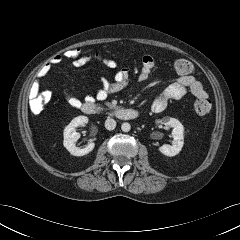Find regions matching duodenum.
<instances>
[{"mask_svg": "<svg viewBox=\"0 0 240 240\" xmlns=\"http://www.w3.org/2000/svg\"><path fill=\"white\" fill-rule=\"evenodd\" d=\"M81 110L88 115L105 114L119 120H132L138 117V112L129 108H107L94 102H86Z\"/></svg>", "mask_w": 240, "mask_h": 240, "instance_id": "1", "label": "duodenum"}]
</instances>
